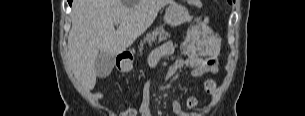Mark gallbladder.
Wrapping results in <instances>:
<instances>
[{
    "label": "gallbladder",
    "mask_w": 305,
    "mask_h": 116,
    "mask_svg": "<svg viewBox=\"0 0 305 116\" xmlns=\"http://www.w3.org/2000/svg\"><path fill=\"white\" fill-rule=\"evenodd\" d=\"M114 68V56L105 52H100L95 61L97 76L106 78Z\"/></svg>",
    "instance_id": "obj_1"
}]
</instances>
